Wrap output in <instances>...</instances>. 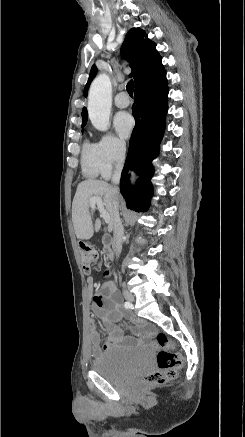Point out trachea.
<instances>
[{"label": "trachea", "instance_id": "3493384b", "mask_svg": "<svg viewBox=\"0 0 245 437\" xmlns=\"http://www.w3.org/2000/svg\"><path fill=\"white\" fill-rule=\"evenodd\" d=\"M127 92L130 95V97H133V91H134V83L132 80H130L126 86Z\"/></svg>", "mask_w": 245, "mask_h": 437}]
</instances>
